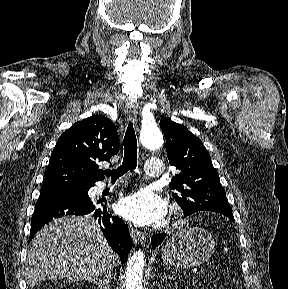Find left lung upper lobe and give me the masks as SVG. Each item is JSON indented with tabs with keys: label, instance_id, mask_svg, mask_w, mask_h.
I'll use <instances>...</instances> for the list:
<instances>
[{
	"label": "left lung upper lobe",
	"instance_id": "obj_1",
	"mask_svg": "<svg viewBox=\"0 0 288 289\" xmlns=\"http://www.w3.org/2000/svg\"><path fill=\"white\" fill-rule=\"evenodd\" d=\"M160 127L166 138L169 163L179 170L169 187L175 191L173 198L183 209L184 216L214 211L234 221L226 192L202 141L168 117L161 119Z\"/></svg>",
	"mask_w": 288,
	"mask_h": 289
}]
</instances>
